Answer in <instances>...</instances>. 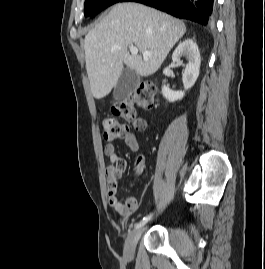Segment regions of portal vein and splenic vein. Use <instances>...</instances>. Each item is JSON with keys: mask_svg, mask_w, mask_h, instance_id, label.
<instances>
[{"mask_svg": "<svg viewBox=\"0 0 265 269\" xmlns=\"http://www.w3.org/2000/svg\"><path fill=\"white\" fill-rule=\"evenodd\" d=\"M129 50H130L131 54H133V55L138 54V49L134 46L129 47ZM151 54H152L151 51H145V52H143V57L146 58V57L150 56Z\"/></svg>", "mask_w": 265, "mask_h": 269, "instance_id": "18ae733b", "label": "portal vein and splenic vein"}]
</instances>
